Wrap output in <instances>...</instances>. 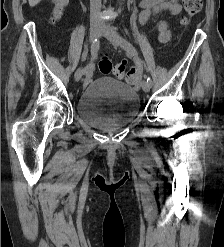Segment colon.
I'll list each match as a JSON object with an SVG mask.
<instances>
[{
    "instance_id": "5ec220e1",
    "label": "colon",
    "mask_w": 224,
    "mask_h": 247,
    "mask_svg": "<svg viewBox=\"0 0 224 247\" xmlns=\"http://www.w3.org/2000/svg\"><path fill=\"white\" fill-rule=\"evenodd\" d=\"M55 9L54 16L58 18L62 13V10L68 3V0H53ZM183 6L185 14L182 18V23L187 25L191 18L200 12L202 8V0H183ZM99 70L102 74H110L113 73L117 78H125L126 81L130 84H135L138 80L137 74L129 70L127 73L125 72V66L122 64H117L113 67L111 59L105 55L102 56L98 63Z\"/></svg>"
}]
</instances>
